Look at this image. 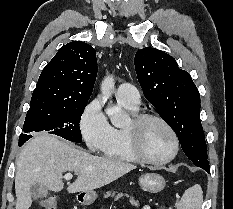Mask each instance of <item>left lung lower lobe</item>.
Listing matches in <instances>:
<instances>
[{"mask_svg":"<svg viewBox=\"0 0 233 209\" xmlns=\"http://www.w3.org/2000/svg\"><path fill=\"white\" fill-rule=\"evenodd\" d=\"M201 168L204 169L207 173H210V166L209 165L202 166Z\"/></svg>","mask_w":233,"mask_h":209,"instance_id":"left-lung-lower-lobe-1","label":"left lung lower lobe"}]
</instances>
